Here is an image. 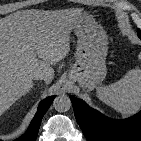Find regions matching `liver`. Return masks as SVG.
Segmentation results:
<instances>
[{"label": "liver", "mask_w": 141, "mask_h": 141, "mask_svg": "<svg viewBox=\"0 0 141 141\" xmlns=\"http://www.w3.org/2000/svg\"><path fill=\"white\" fill-rule=\"evenodd\" d=\"M81 14L23 10L0 19V116L31 90L35 72L52 81L51 66L69 53L70 33Z\"/></svg>", "instance_id": "6515ba94"}]
</instances>
